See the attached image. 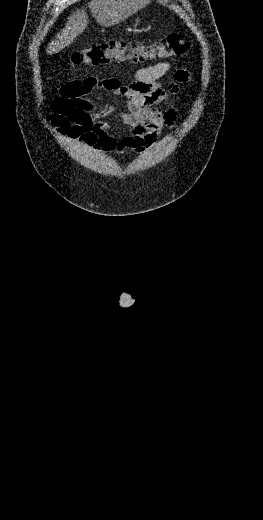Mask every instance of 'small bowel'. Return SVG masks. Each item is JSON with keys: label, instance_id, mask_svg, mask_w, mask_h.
Here are the masks:
<instances>
[{"label": "small bowel", "instance_id": "1", "mask_svg": "<svg viewBox=\"0 0 263 520\" xmlns=\"http://www.w3.org/2000/svg\"><path fill=\"white\" fill-rule=\"evenodd\" d=\"M171 70L175 71L173 80L161 81ZM188 80L187 70L175 68L172 62H160L139 69L127 85L115 78L71 81L59 89L46 122L60 135L98 151L142 153L156 142L165 127L175 124L173 98L179 95L180 84ZM96 89L114 92L126 100V111L119 114L124 126L119 140L110 134V124L101 120L114 113V107L90 99ZM157 105H165L166 109L161 111Z\"/></svg>", "mask_w": 263, "mask_h": 520}]
</instances>
